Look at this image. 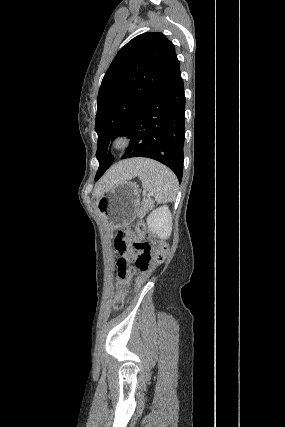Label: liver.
<instances>
[{
    "mask_svg": "<svg viewBox=\"0 0 285 427\" xmlns=\"http://www.w3.org/2000/svg\"><path fill=\"white\" fill-rule=\"evenodd\" d=\"M144 160L145 159L141 158L124 160L112 166L100 180L95 194L99 196L114 184L124 182L135 177Z\"/></svg>",
    "mask_w": 285,
    "mask_h": 427,
    "instance_id": "liver-1",
    "label": "liver"
}]
</instances>
